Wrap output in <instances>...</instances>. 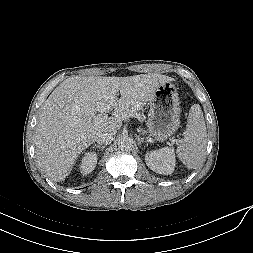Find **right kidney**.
<instances>
[{
	"label": "right kidney",
	"instance_id": "right-kidney-1",
	"mask_svg": "<svg viewBox=\"0 0 253 253\" xmlns=\"http://www.w3.org/2000/svg\"><path fill=\"white\" fill-rule=\"evenodd\" d=\"M97 154L94 152L85 153V156L81 160L80 172L83 175L91 173L97 164Z\"/></svg>",
	"mask_w": 253,
	"mask_h": 253
}]
</instances>
